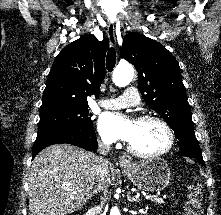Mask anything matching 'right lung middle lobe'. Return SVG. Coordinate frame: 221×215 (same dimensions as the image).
Segmentation results:
<instances>
[{
    "instance_id": "obj_1",
    "label": "right lung middle lobe",
    "mask_w": 221,
    "mask_h": 215,
    "mask_svg": "<svg viewBox=\"0 0 221 215\" xmlns=\"http://www.w3.org/2000/svg\"><path fill=\"white\" fill-rule=\"evenodd\" d=\"M91 116L88 106L40 115L38 133L63 128H86L92 126Z\"/></svg>"
}]
</instances>
